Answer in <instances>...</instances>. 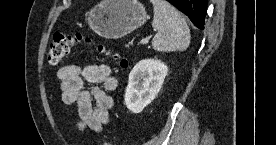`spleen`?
Here are the masks:
<instances>
[{"instance_id":"spleen-1","label":"spleen","mask_w":276,"mask_h":145,"mask_svg":"<svg viewBox=\"0 0 276 145\" xmlns=\"http://www.w3.org/2000/svg\"><path fill=\"white\" fill-rule=\"evenodd\" d=\"M152 26L158 32L152 47L156 51H185L190 44V30L182 15L165 0H152Z\"/></svg>"}]
</instances>
